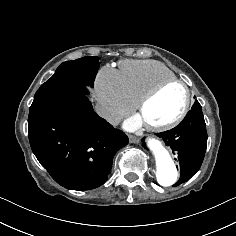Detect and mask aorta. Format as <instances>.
<instances>
[{"label":"aorta","mask_w":236,"mask_h":236,"mask_svg":"<svg viewBox=\"0 0 236 236\" xmlns=\"http://www.w3.org/2000/svg\"><path fill=\"white\" fill-rule=\"evenodd\" d=\"M146 143L156 159V177L161 186H171L177 181L178 172L168 150L156 138H147Z\"/></svg>","instance_id":"1"}]
</instances>
